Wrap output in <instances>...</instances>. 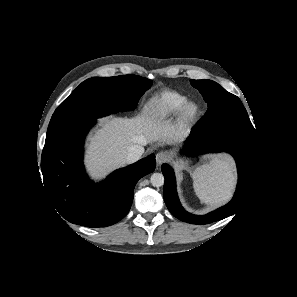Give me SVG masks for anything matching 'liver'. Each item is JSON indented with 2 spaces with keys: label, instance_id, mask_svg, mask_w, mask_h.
Segmentation results:
<instances>
[{
  "label": "liver",
  "instance_id": "liver-1",
  "mask_svg": "<svg viewBox=\"0 0 297 297\" xmlns=\"http://www.w3.org/2000/svg\"><path fill=\"white\" fill-rule=\"evenodd\" d=\"M183 133L168 120L149 109L136 117L103 118L101 128L89 138L86 165L96 178L126 164V156L133 145L163 142L178 143Z\"/></svg>",
  "mask_w": 297,
  "mask_h": 297
}]
</instances>
